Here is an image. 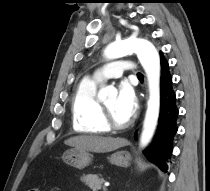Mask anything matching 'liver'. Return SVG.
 <instances>
[{"mask_svg":"<svg viewBox=\"0 0 210 191\" xmlns=\"http://www.w3.org/2000/svg\"><path fill=\"white\" fill-rule=\"evenodd\" d=\"M64 143L75 149H81L97 153H105L114 151L128 144L124 138H112L95 135H81L71 137Z\"/></svg>","mask_w":210,"mask_h":191,"instance_id":"liver-1","label":"liver"}]
</instances>
